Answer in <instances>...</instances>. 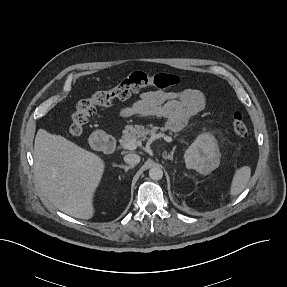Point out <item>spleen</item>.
<instances>
[{
    "instance_id": "obj_1",
    "label": "spleen",
    "mask_w": 287,
    "mask_h": 287,
    "mask_svg": "<svg viewBox=\"0 0 287 287\" xmlns=\"http://www.w3.org/2000/svg\"><path fill=\"white\" fill-rule=\"evenodd\" d=\"M250 176L251 168L249 166H242L236 169L230 186V195L236 196L240 194L249 182Z\"/></svg>"
}]
</instances>
